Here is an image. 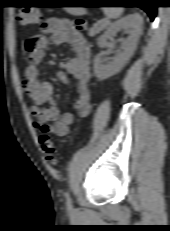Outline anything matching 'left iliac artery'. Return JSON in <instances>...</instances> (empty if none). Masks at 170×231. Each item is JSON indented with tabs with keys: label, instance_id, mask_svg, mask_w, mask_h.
<instances>
[{
	"label": "left iliac artery",
	"instance_id": "left-iliac-artery-1",
	"mask_svg": "<svg viewBox=\"0 0 170 231\" xmlns=\"http://www.w3.org/2000/svg\"><path fill=\"white\" fill-rule=\"evenodd\" d=\"M65 196H66L67 204H68L69 206H71V198H70L69 193L67 192Z\"/></svg>",
	"mask_w": 170,
	"mask_h": 231
}]
</instances>
